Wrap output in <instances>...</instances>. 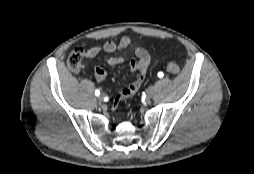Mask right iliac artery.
<instances>
[{
    "instance_id": "obj_1",
    "label": "right iliac artery",
    "mask_w": 254,
    "mask_h": 174,
    "mask_svg": "<svg viewBox=\"0 0 254 174\" xmlns=\"http://www.w3.org/2000/svg\"><path fill=\"white\" fill-rule=\"evenodd\" d=\"M95 95L96 96H99L100 95V91L97 89V90H95Z\"/></svg>"
}]
</instances>
